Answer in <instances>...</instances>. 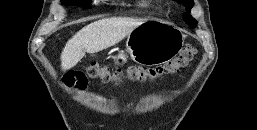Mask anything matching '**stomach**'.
<instances>
[{"label":"stomach","instance_id":"0dacf381","mask_svg":"<svg viewBox=\"0 0 257 130\" xmlns=\"http://www.w3.org/2000/svg\"><path fill=\"white\" fill-rule=\"evenodd\" d=\"M185 35L165 21L151 19L137 26L127 36L126 54L138 64L146 66L163 64L173 59L181 50Z\"/></svg>","mask_w":257,"mask_h":130}]
</instances>
